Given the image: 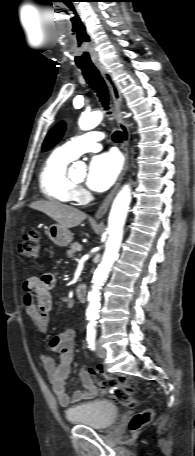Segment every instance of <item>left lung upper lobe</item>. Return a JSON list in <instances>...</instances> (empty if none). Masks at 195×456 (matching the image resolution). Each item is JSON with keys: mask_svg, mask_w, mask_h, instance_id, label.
<instances>
[{"mask_svg": "<svg viewBox=\"0 0 195 456\" xmlns=\"http://www.w3.org/2000/svg\"><path fill=\"white\" fill-rule=\"evenodd\" d=\"M65 131V123L60 122L58 123L53 129L50 130L48 133L44 143H43V151H47L52 148L59 140L61 139L63 133Z\"/></svg>", "mask_w": 195, "mask_h": 456, "instance_id": "1", "label": "left lung upper lobe"}]
</instances>
